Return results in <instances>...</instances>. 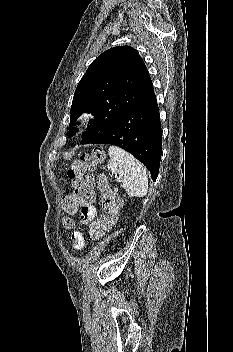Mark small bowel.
Here are the masks:
<instances>
[{
  "label": "small bowel",
  "instance_id": "obj_1",
  "mask_svg": "<svg viewBox=\"0 0 233 352\" xmlns=\"http://www.w3.org/2000/svg\"><path fill=\"white\" fill-rule=\"evenodd\" d=\"M96 216V208L93 204H90L81 209V222L87 224L91 222ZM73 248L74 250H81L84 246V238L81 232L74 231L72 233Z\"/></svg>",
  "mask_w": 233,
  "mask_h": 352
}]
</instances>
